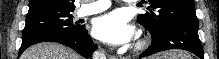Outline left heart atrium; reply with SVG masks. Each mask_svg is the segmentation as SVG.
I'll list each match as a JSON object with an SVG mask.
<instances>
[{
    "instance_id": "1",
    "label": "left heart atrium",
    "mask_w": 219,
    "mask_h": 59,
    "mask_svg": "<svg viewBox=\"0 0 219 59\" xmlns=\"http://www.w3.org/2000/svg\"><path fill=\"white\" fill-rule=\"evenodd\" d=\"M93 35L107 43L121 44L131 39L133 28L121 13L111 12L95 20Z\"/></svg>"
}]
</instances>
